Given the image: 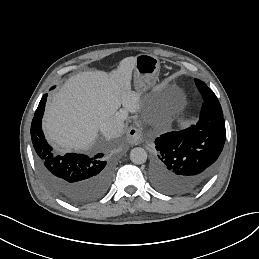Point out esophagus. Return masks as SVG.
Returning a JSON list of instances; mask_svg holds the SVG:
<instances>
[{
    "mask_svg": "<svg viewBox=\"0 0 259 259\" xmlns=\"http://www.w3.org/2000/svg\"><path fill=\"white\" fill-rule=\"evenodd\" d=\"M126 139L131 145H138L143 140V132L140 128L131 126L128 129Z\"/></svg>",
    "mask_w": 259,
    "mask_h": 259,
    "instance_id": "34e87169",
    "label": "esophagus"
}]
</instances>
